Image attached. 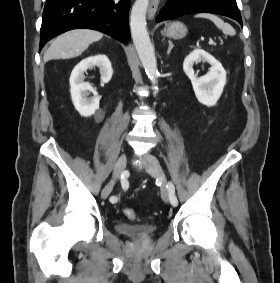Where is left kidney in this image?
<instances>
[{
  "label": "left kidney",
  "instance_id": "1",
  "mask_svg": "<svg viewBox=\"0 0 280 283\" xmlns=\"http://www.w3.org/2000/svg\"><path fill=\"white\" fill-rule=\"evenodd\" d=\"M202 60L211 67L206 75L197 77L193 65ZM183 70L190 79L198 101L206 106H214L219 100L226 84V71L222 64L202 49L193 50L183 62Z\"/></svg>",
  "mask_w": 280,
  "mask_h": 283
}]
</instances>
